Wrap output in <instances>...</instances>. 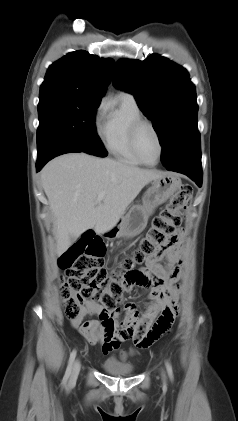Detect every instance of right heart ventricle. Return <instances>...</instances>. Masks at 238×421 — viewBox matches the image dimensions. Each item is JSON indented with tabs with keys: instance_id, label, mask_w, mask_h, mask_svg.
Returning a JSON list of instances; mask_svg holds the SVG:
<instances>
[{
	"instance_id": "obj_1",
	"label": "right heart ventricle",
	"mask_w": 238,
	"mask_h": 421,
	"mask_svg": "<svg viewBox=\"0 0 238 421\" xmlns=\"http://www.w3.org/2000/svg\"><path fill=\"white\" fill-rule=\"evenodd\" d=\"M141 117L136 100L128 94H121L114 104L108 106L101 126V137L107 150L132 166L143 164L134 154L130 141L131 127Z\"/></svg>"
}]
</instances>
